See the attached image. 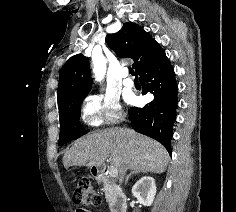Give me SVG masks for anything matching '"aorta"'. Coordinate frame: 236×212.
Instances as JSON below:
<instances>
[{
	"instance_id": "aorta-1",
	"label": "aorta",
	"mask_w": 236,
	"mask_h": 212,
	"mask_svg": "<svg viewBox=\"0 0 236 212\" xmlns=\"http://www.w3.org/2000/svg\"><path fill=\"white\" fill-rule=\"evenodd\" d=\"M92 61L94 65L93 72L95 74V78L97 81H101L106 73V60L101 54H99L93 55Z\"/></svg>"
}]
</instances>
